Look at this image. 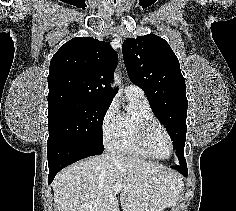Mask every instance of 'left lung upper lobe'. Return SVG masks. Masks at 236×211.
Segmentation results:
<instances>
[{"label": "left lung upper lobe", "instance_id": "1", "mask_svg": "<svg viewBox=\"0 0 236 211\" xmlns=\"http://www.w3.org/2000/svg\"><path fill=\"white\" fill-rule=\"evenodd\" d=\"M122 52L130 80L144 90L155 116L177 149L179 163L186 164L188 101L178 58L166 40L154 34L126 39Z\"/></svg>", "mask_w": 236, "mask_h": 211}]
</instances>
